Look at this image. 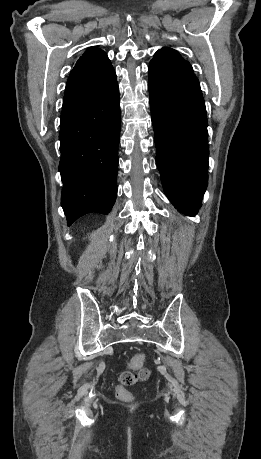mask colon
Instances as JSON below:
<instances>
[{
    "label": "colon",
    "instance_id": "5ec220e1",
    "mask_svg": "<svg viewBox=\"0 0 261 459\" xmlns=\"http://www.w3.org/2000/svg\"><path fill=\"white\" fill-rule=\"evenodd\" d=\"M145 356L143 353H136L129 361V369L123 370L119 375V385L116 388V395L121 400H129L130 392L126 387L137 382L145 381L149 377V370L142 368Z\"/></svg>",
    "mask_w": 261,
    "mask_h": 459
}]
</instances>
